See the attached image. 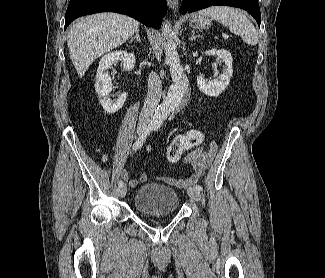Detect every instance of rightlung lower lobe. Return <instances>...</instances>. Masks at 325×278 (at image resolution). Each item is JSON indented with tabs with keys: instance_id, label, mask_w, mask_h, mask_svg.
Wrapping results in <instances>:
<instances>
[{
	"instance_id": "right-lung-lower-lobe-1",
	"label": "right lung lower lobe",
	"mask_w": 325,
	"mask_h": 278,
	"mask_svg": "<svg viewBox=\"0 0 325 278\" xmlns=\"http://www.w3.org/2000/svg\"><path fill=\"white\" fill-rule=\"evenodd\" d=\"M166 11V0H70L65 16V29L74 19L98 12L125 14L146 26L159 29Z\"/></svg>"
}]
</instances>
